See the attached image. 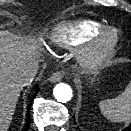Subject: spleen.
I'll list each match as a JSON object with an SVG mask.
<instances>
[{"mask_svg":"<svg viewBox=\"0 0 131 131\" xmlns=\"http://www.w3.org/2000/svg\"><path fill=\"white\" fill-rule=\"evenodd\" d=\"M102 114L110 121L123 122L131 119V81L125 90L113 99L99 102Z\"/></svg>","mask_w":131,"mask_h":131,"instance_id":"3e777b00","label":"spleen"}]
</instances>
